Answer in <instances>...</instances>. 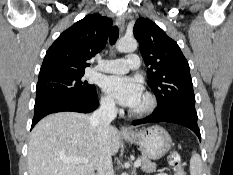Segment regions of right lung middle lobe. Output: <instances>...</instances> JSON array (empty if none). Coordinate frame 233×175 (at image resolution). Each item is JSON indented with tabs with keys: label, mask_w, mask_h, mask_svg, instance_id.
Returning <instances> with one entry per match:
<instances>
[{
	"label": "right lung middle lobe",
	"mask_w": 233,
	"mask_h": 175,
	"mask_svg": "<svg viewBox=\"0 0 233 175\" xmlns=\"http://www.w3.org/2000/svg\"><path fill=\"white\" fill-rule=\"evenodd\" d=\"M84 72L40 77L36 87V102L49 98H86L95 94V86L82 77Z\"/></svg>",
	"instance_id": "obj_1"
}]
</instances>
